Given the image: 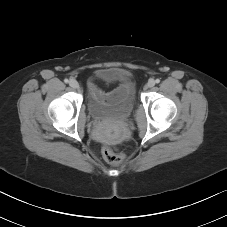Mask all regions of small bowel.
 <instances>
[{
    "instance_id": "small-bowel-1",
    "label": "small bowel",
    "mask_w": 227,
    "mask_h": 227,
    "mask_svg": "<svg viewBox=\"0 0 227 227\" xmlns=\"http://www.w3.org/2000/svg\"><path fill=\"white\" fill-rule=\"evenodd\" d=\"M127 81L123 80L122 83L112 92L106 93L93 83L89 84L91 95L101 101H113L118 99L126 90Z\"/></svg>"
}]
</instances>
